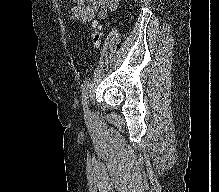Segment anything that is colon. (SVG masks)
Returning <instances> with one entry per match:
<instances>
[{
	"label": "colon",
	"instance_id": "5ec220e1",
	"mask_svg": "<svg viewBox=\"0 0 219 192\" xmlns=\"http://www.w3.org/2000/svg\"><path fill=\"white\" fill-rule=\"evenodd\" d=\"M90 37L93 48L98 49L101 46L102 31L101 27L97 23L92 25L90 30Z\"/></svg>",
	"mask_w": 219,
	"mask_h": 192
}]
</instances>
